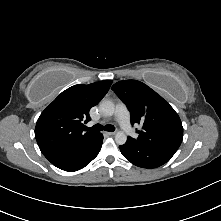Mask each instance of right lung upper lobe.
Returning a JSON list of instances; mask_svg holds the SVG:
<instances>
[{"label":"right lung upper lobe","instance_id":"obj_1","mask_svg":"<svg viewBox=\"0 0 221 221\" xmlns=\"http://www.w3.org/2000/svg\"><path fill=\"white\" fill-rule=\"evenodd\" d=\"M112 80L74 85L63 91L40 115L35 138L43 155L56 167L92 141L99 133L84 132L83 121H90L89 110L108 92Z\"/></svg>","mask_w":221,"mask_h":221}]
</instances>
